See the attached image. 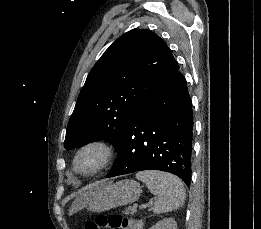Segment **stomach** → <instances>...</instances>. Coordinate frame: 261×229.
I'll return each mask as SVG.
<instances>
[{
  "label": "stomach",
  "mask_w": 261,
  "mask_h": 229,
  "mask_svg": "<svg viewBox=\"0 0 261 229\" xmlns=\"http://www.w3.org/2000/svg\"><path fill=\"white\" fill-rule=\"evenodd\" d=\"M141 193L142 189L139 183L130 181V179L118 181V183L96 181V183L88 185L85 203L88 211L102 213V211H109V209H115V207L135 203Z\"/></svg>",
  "instance_id": "1"
}]
</instances>
